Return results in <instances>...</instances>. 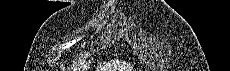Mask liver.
Here are the masks:
<instances>
[{"label": "liver", "mask_w": 230, "mask_h": 71, "mask_svg": "<svg viewBox=\"0 0 230 71\" xmlns=\"http://www.w3.org/2000/svg\"><path fill=\"white\" fill-rule=\"evenodd\" d=\"M119 66H120V63L116 61L113 63H105L103 66H100L97 69H98V71H122V70H114V69H119ZM88 68H89V64L85 63L84 60H82L78 64V67L75 68L74 71H87ZM126 69H130V68H126Z\"/></svg>", "instance_id": "6515ba94"}]
</instances>
